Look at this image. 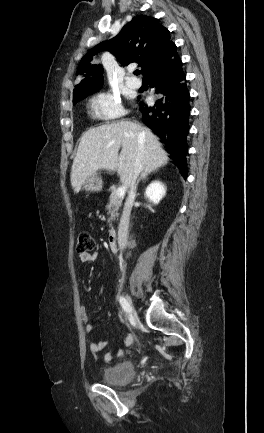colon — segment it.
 Returning <instances> with one entry per match:
<instances>
[{
	"mask_svg": "<svg viewBox=\"0 0 264 433\" xmlns=\"http://www.w3.org/2000/svg\"><path fill=\"white\" fill-rule=\"evenodd\" d=\"M95 249V239L87 231H82L77 238L76 250L79 254L90 253Z\"/></svg>",
	"mask_w": 264,
	"mask_h": 433,
	"instance_id": "obj_1",
	"label": "colon"
}]
</instances>
